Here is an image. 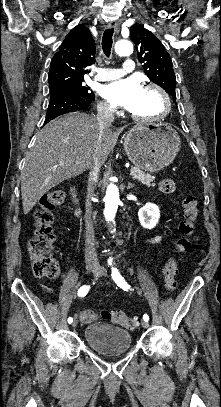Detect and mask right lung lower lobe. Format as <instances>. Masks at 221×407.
I'll return each mask as SVG.
<instances>
[{
	"label": "right lung lower lobe",
	"mask_w": 221,
	"mask_h": 407,
	"mask_svg": "<svg viewBox=\"0 0 221 407\" xmlns=\"http://www.w3.org/2000/svg\"><path fill=\"white\" fill-rule=\"evenodd\" d=\"M94 100L90 97L62 96L50 99L44 124L65 113L86 109Z\"/></svg>",
	"instance_id": "1"
}]
</instances>
